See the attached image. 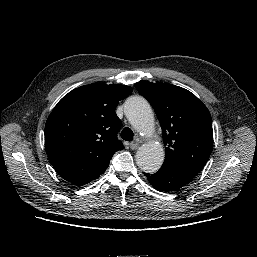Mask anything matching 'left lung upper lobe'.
I'll return each mask as SVG.
<instances>
[{
	"mask_svg": "<svg viewBox=\"0 0 257 257\" xmlns=\"http://www.w3.org/2000/svg\"><path fill=\"white\" fill-rule=\"evenodd\" d=\"M156 112L165 147L164 166L196 176L212 151V120L207 107L190 91L168 83H135Z\"/></svg>",
	"mask_w": 257,
	"mask_h": 257,
	"instance_id": "obj_1",
	"label": "left lung upper lobe"
}]
</instances>
